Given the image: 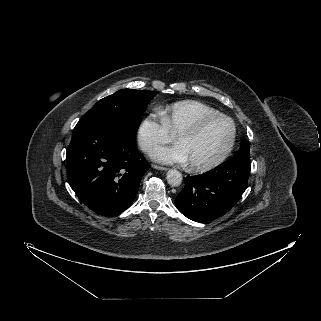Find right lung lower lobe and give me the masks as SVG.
<instances>
[{
    "label": "right lung lower lobe",
    "mask_w": 321,
    "mask_h": 321,
    "mask_svg": "<svg viewBox=\"0 0 321 321\" xmlns=\"http://www.w3.org/2000/svg\"><path fill=\"white\" fill-rule=\"evenodd\" d=\"M66 165L69 184L81 202L108 217L133 203L148 169L137 149L136 134L125 125L73 132Z\"/></svg>",
    "instance_id": "1"
}]
</instances>
